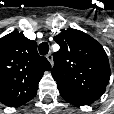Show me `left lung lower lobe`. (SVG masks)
I'll list each match as a JSON object with an SVG mask.
<instances>
[{
	"instance_id": "left-lung-lower-lobe-1",
	"label": "left lung lower lobe",
	"mask_w": 114,
	"mask_h": 114,
	"mask_svg": "<svg viewBox=\"0 0 114 114\" xmlns=\"http://www.w3.org/2000/svg\"><path fill=\"white\" fill-rule=\"evenodd\" d=\"M61 96L66 100L68 101L69 103L71 104H74V105H78V106H82V105H89L91 104L93 101V99L91 98H88V97H84V96H79V95H75V94H70V93H67V92H62V91H59Z\"/></svg>"
}]
</instances>
